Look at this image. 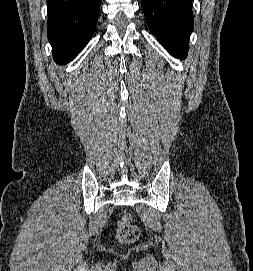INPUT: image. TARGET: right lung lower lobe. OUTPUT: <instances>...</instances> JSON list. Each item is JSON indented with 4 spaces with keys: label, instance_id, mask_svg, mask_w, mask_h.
<instances>
[{
    "label": "right lung lower lobe",
    "instance_id": "98d812e1",
    "mask_svg": "<svg viewBox=\"0 0 253 271\" xmlns=\"http://www.w3.org/2000/svg\"><path fill=\"white\" fill-rule=\"evenodd\" d=\"M99 10L100 0H47V34L56 63H68L89 42Z\"/></svg>",
    "mask_w": 253,
    "mask_h": 271
}]
</instances>
